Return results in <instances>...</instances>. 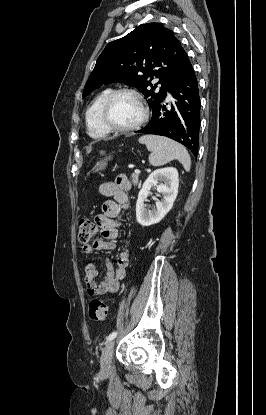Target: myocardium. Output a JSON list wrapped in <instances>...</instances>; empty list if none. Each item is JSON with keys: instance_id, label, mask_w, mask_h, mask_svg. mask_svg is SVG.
I'll return each mask as SVG.
<instances>
[{"instance_id": "myocardium-1", "label": "myocardium", "mask_w": 266, "mask_h": 415, "mask_svg": "<svg viewBox=\"0 0 266 415\" xmlns=\"http://www.w3.org/2000/svg\"><path fill=\"white\" fill-rule=\"evenodd\" d=\"M121 94L132 95L139 103V106L142 111V115L139 121L135 123L134 125H131L128 127L117 126L112 122L110 118V110H111L112 103L115 100V98ZM148 117H149V111L144 102L143 97L138 91L132 88H119V89L113 90L106 98L102 106V110H101L102 123L110 132H116V133H128V132L135 131L139 129L148 120Z\"/></svg>"}]
</instances>
